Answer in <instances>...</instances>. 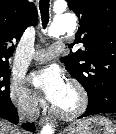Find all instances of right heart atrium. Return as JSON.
Wrapping results in <instances>:
<instances>
[{
  "mask_svg": "<svg viewBox=\"0 0 116 134\" xmlns=\"http://www.w3.org/2000/svg\"><path fill=\"white\" fill-rule=\"evenodd\" d=\"M11 103L23 113L35 114L39 109V101L21 84L11 82L8 88Z\"/></svg>",
  "mask_w": 116,
  "mask_h": 134,
  "instance_id": "obj_1",
  "label": "right heart atrium"
}]
</instances>
